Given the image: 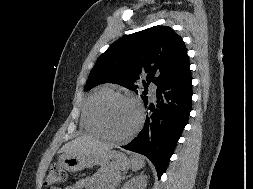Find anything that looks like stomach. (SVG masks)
<instances>
[{"label":"stomach","mask_w":253,"mask_h":189,"mask_svg":"<svg viewBox=\"0 0 253 189\" xmlns=\"http://www.w3.org/2000/svg\"><path fill=\"white\" fill-rule=\"evenodd\" d=\"M58 162L63 169L69 172H77L94 165L117 171L130 168L128 157L122 152L115 150H108L100 155L62 154Z\"/></svg>","instance_id":"0dacf381"}]
</instances>
